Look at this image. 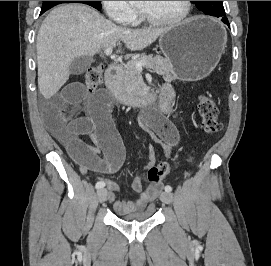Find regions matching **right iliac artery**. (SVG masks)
<instances>
[{"mask_svg":"<svg viewBox=\"0 0 271 266\" xmlns=\"http://www.w3.org/2000/svg\"><path fill=\"white\" fill-rule=\"evenodd\" d=\"M105 187V182L104 181H98L97 183H96V188L97 189H101V188H104Z\"/></svg>","mask_w":271,"mask_h":266,"instance_id":"1","label":"right iliac artery"}]
</instances>
